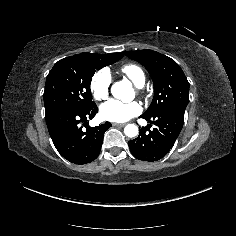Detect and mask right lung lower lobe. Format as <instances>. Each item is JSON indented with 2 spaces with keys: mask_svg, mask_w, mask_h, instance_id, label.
<instances>
[{
  "mask_svg": "<svg viewBox=\"0 0 236 236\" xmlns=\"http://www.w3.org/2000/svg\"><path fill=\"white\" fill-rule=\"evenodd\" d=\"M98 112L96 104L83 111L57 109L45 113L49 134L58 152L75 164L93 161L100 153L104 133L111 127L110 122L97 127L83 129V125Z\"/></svg>",
  "mask_w": 236,
  "mask_h": 236,
  "instance_id": "1",
  "label": "right lung lower lobe"
}]
</instances>
